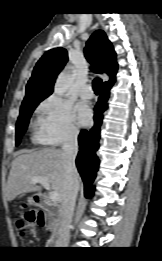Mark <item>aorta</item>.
<instances>
[{"instance_id": "1", "label": "aorta", "mask_w": 162, "mask_h": 261, "mask_svg": "<svg viewBox=\"0 0 162 261\" xmlns=\"http://www.w3.org/2000/svg\"><path fill=\"white\" fill-rule=\"evenodd\" d=\"M72 80L73 77L68 70L62 71L56 80L54 93L60 96L64 95Z\"/></svg>"}]
</instances>
